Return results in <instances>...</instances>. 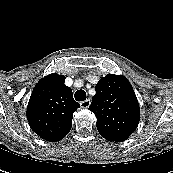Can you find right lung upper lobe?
<instances>
[{"label": "right lung upper lobe", "mask_w": 173, "mask_h": 173, "mask_svg": "<svg viewBox=\"0 0 173 173\" xmlns=\"http://www.w3.org/2000/svg\"><path fill=\"white\" fill-rule=\"evenodd\" d=\"M64 81L65 77L58 74L41 79L34 87L27 106L30 127L46 141L63 139L72 127L73 113L80 107Z\"/></svg>", "instance_id": "obj_1"}]
</instances>
